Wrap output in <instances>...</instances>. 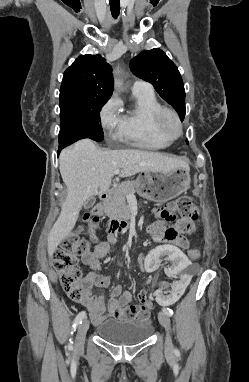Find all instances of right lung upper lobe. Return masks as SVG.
Returning <instances> with one entry per match:
<instances>
[{"label": "right lung upper lobe", "mask_w": 249, "mask_h": 382, "mask_svg": "<svg viewBox=\"0 0 249 382\" xmlns=\"http://www.w3.org/2000/svg\"><path fill=\"white\" fill-rule=\"evenodd\" d=\"M112 68L100 55H81L65 71L60 88V108L84 104L112 95Z\"/></svg>", "instance_id": "obj_1"}]
</instances>
